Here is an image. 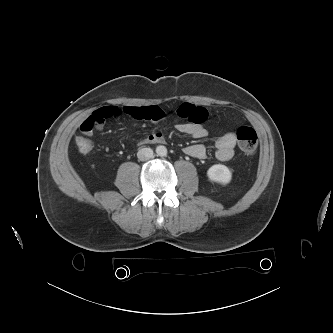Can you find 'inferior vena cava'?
Returning <instances> with one entry per match:
<instances>
[{
  "instance_id": "1",
  "label": "inferior vena cava",
  "mask_w": 333,
  "mask_h": 333,
  "mask_svg": "<svg viewBox=\"0 0 333 333\" xmlns=\"http://www.w3.org/2000/svg\"><path fill=\"white\" fill-rule=\"evenodd\" d=\"M137 157L140 161H146L153 157V150L151 148H141L138 153Z\"/></svg>"
}]
</instances>
